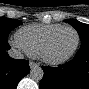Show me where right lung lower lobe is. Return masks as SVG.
Wrapping results in <instances>:
<instances>
[{
  "label": "right lung lower lobe",
  "instance_id": "98d812e1",
  "mask_svg": "<svg viewBox=\"0 0 89 89\" xmlns=\"http://www.w3.org/2000/svg\"><path fill=\"white\" fill-rule=\"evenodd\" d=\"M9 49L7 41H0V89H15L30 71L29 61L11 58L7 53Z\"/></svg>",
  "mask_w": 89,
  "mask_h": 89
}]
</instances>
